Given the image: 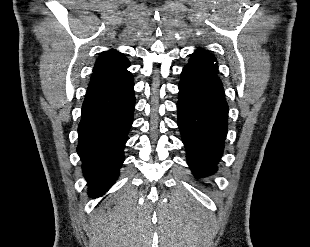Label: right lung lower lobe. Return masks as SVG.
Listing matches in <instances>:
<instances>
[{
  "mask_svg": "<svg viewBox=\"0 0 310 247\" xmlns=\"http://www.w3.org/2000/svg\"><path fill=\"white\" fill-rule=\"evenodd\" d=\"M133 87L131 81L87 90L78 126L77 152L91 197L105 193L118 177L133 122Z\"/></svg>",
  "mask_w": 310,
  "mask_h": 247,
  "instance_id": "98d812e1",
  "label": "right lung lower lobe"
}]
</instances>
